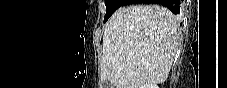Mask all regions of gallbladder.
<instances>
[{
    "label": "gallbladder",
    "mask_w": 227,
    "mask_h": 88,
    "mask_svg": "<svg viewBox=\"0 0 227 88\" xmlns=\"http://www.w3.org/2000/svg\"><path fill=\"white\" fill-rule=\"evenodd\" d=\"M102 87L103 88H111L112 87V84L108 80H105L102 83Z\"/></svg>",
    "instance_id": "bac80fb5"
}]
</instances>
